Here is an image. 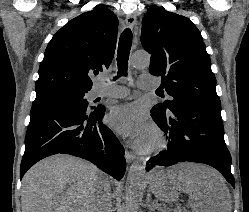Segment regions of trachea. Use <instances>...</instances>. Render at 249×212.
<instances>
[{"label":"trachea","mask_w":249,"mask_h":212,"mask_svg":"<svg viewBox=\"0 0 249 212\" xmlns=\"http://www.w3.org/2000/svg\"><path fill=\"white\" fill-rule=\"evenodd\" d=\"M132 45V32L127 28L123 31L119 39L118 51H117V66L118 74L114 77L116 80L120 76H127L128 59L130 55V49Z\"/></svg>","instance_id":"1"}]
</instances>
